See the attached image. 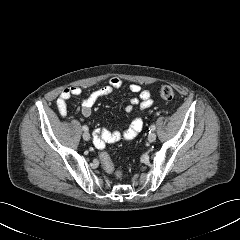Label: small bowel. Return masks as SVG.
Returning <instances> with one entry per match:
<instances>
[{"mask_svg": "<svg viewBox=\"0 0 240 240\" xmlns=\"http://www.w3.org/2000/svg\"><path fill=\"white\" fill-rule=\"evenodd\" d=\"M121 86L122 81L119 78H110L105 86L95 90L82 100V115L84 117H89L92 114L93 106L98 99L111 94L114 90L119 89ZM129 90L132 93L138 94V97L130 99L129 104L125 106L126 112L131 113L135 107H138L140 110H144L152 105L153 101L151 99L150 92L146 89H142L139 84H130ZM81 92L82 90L78 86H70L61 91L56 101L57 109L61 116L65 117L67 115V101L73 96L80 95ZM143 126L144 120L139 114L131 121L130 125L126 129L114 131L106 129L96 130L94 132L95 142L100 146H104L105 144L119 141H130L137 136Z\"/></svg>", "mask_w": 240, "mask_h": 240, "instance_id": "small-bowel-1", "label": "small bowel"}]
</instances>
